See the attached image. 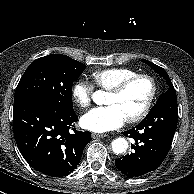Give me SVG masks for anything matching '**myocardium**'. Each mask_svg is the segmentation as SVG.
Here are the masks:
<instances>
[{"mask_svg": "<svg viewBox=\"0 0 194 194\" xmlns=\"http://www.w3.org/2000/svg\"><path fill=\"white\" fill-rule=\"evenodd\" d=\"M139 79H146L147 81H149V83L151 85V92H150L149 98H148L145 106L143 107V109L137 115L130 117V118H127L125 120L127 123L140 122L149 114V112L152 108V105L154 103V100L156 98V94H157V83H156L155 78L149 74H135L127 79H124L123 81L118 83L115 87H113L112 89L109 90L110 94L120 95L125 91V89L131 83H133L134 81L139 80Z\"/></svg>", "mask_w": 194, "mask_h": 194, "instance_id": "f54148a6", "label": "myocardium"}]
</instances>
